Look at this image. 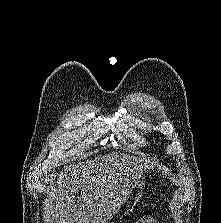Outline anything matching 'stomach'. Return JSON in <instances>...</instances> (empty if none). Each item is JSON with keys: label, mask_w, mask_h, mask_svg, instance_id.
I'll return each mask as SVG.
<instances>
[{"label": "stomach", "mask_w": 221, "mask_h": 223, "mask_svg": "<svg viewBox=\"0 0 221 223\" xmlns=\"http://www.w3.org/2000/svg\"><path fill=\"white\" fill-rule=\"evenodd\" d=\"M145 185V178L140 176L136 183L134 184L133 188H142Z\"/></svg>", "instance_id": "obj_1"}]
</instances>
